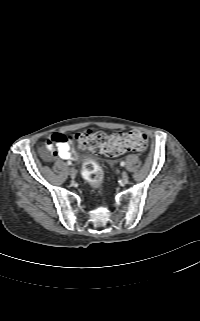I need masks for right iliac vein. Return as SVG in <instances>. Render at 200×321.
I'll return each mask as SVG.
<instances>
[{"label": "right iliac vein", "mask_w": 200, "mask_h": 321, "mask_svg": "<svg viewBox=\"0 0 200 321\" xmlns=\"http://www.w3.org/2000/svg\"><path fill=\"white\" fill-rule=\"evenodd\" d=\"M69 174H70V176H71L72 178L75 177L76 172H75V169H74L73 167H71V168L69 169Z\"/></svg>", "instance_id": "obj_1"}]
</instances>
